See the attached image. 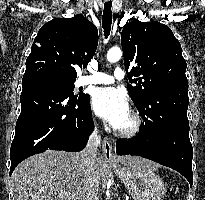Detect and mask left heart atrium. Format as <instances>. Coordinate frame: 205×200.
I'll use <instances>...</instances> for the list:
<instances>
[{
  "instance_id": "left-heart-atrium-1",
  "label": "left heart atrium",
  "mask_w": 205,
  "mask_h": 200,
  "mask_svg": "<svg viewBox=\"0 0 205 200\" xmlns=\"http://www.w3.org/2000/svg\"><path fill=\"white\" fill-rule=\"evenodd\" d=\"M92 108L97 116L118 129L129 116V104L123 92L112 88H98L92 96Z\"/></svg>"
}]
</instances>
